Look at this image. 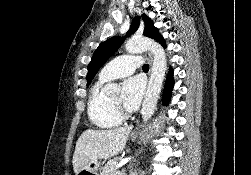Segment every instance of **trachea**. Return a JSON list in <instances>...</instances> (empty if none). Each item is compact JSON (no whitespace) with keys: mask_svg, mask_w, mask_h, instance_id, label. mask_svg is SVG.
I'll return each mask as SVG.
<instances>
[{"mask_svg":"<svg viewBox=\"0 0 251 175\" xmlns=\"http://www.w3.org/2000/svg\"><path fill=\"white\" fill-rule=\"evenodd\" d=\"M143 70H146V71H148V70H149V65H147V64H144V65H143Z\"/></svg>","mask_w":251,"mask_h":175,"instance_id":"trachea-1","label":"trachea"}]
</instances>
